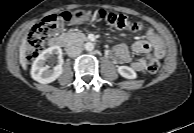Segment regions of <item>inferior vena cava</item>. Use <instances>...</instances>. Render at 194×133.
Wrapping results in <instances>:
<instances>
[{"instance_id":"inferior-vena-cava-1","label":"inferior vena cava","mask_w":194,"mask_h":133,"mask_svg":"<svg viewBox=\"0 0 194 133\" xmlns=\"http://www.w3.org/2000/svg\"><path fill=\"white\" fill-rule=\"evenodd\" d=\"M66 51L69 57H77L81 54L82 48L78 46H70Z\"/></svg>"}]
</instances>
